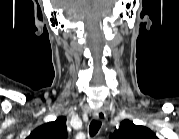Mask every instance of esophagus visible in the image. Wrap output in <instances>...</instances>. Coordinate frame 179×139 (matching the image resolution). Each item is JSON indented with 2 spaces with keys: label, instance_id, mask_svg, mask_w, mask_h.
<instances>
[{
  "label": "esophagus",
  "instance_id": "1",
  "mask_svg": "<svg viewBox=\"0 0 179 139\" xmlns=\"http://www.w3.org/2000/svg\"><path fill=\"white\" fill-rule=\"evenodd\" d=\"M93 116L98 121H105V119H106V115H105V112L103 110H96L93 113Z\"/></svg>",
  "mask_w": 179,
  "mask_h": 139
}]
</instances>
